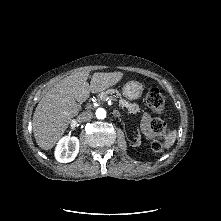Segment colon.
Wrapping results in <instances>:
<instances>
[{
	"mask_svg": "<svg viewBox=\"0 0 221 221\" xmlns=\"http://www.w3.org/2000/svg\"><path fill=\"white\" fill-rule=\"evenodd\" d=\"M146 105L154 117L150 121V130L156 135V139L152 143L155 152H161L163 149V137L166 132V124L159 117L165 109V100L162 93L157 88H152L146 95Z\"/></svg>",
	"mask_w": 221,
	"mask_h": 221,
	"instance_id": "1",
	"label": "colon"
}]
</instances>
